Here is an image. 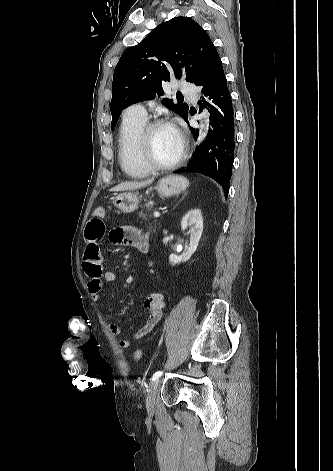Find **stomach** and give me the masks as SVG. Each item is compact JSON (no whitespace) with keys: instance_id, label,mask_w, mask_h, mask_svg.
Listing matches in <instances>:
<instances>
[{"instance_id":"obj_1","label":"stomach","mask_w":333,"mask_h":471,"mask_svg":"<svg viewBox=\"0 0 333 471\" xmlns=\"http://www.w3.org/2000/svg\"><path fill=\"white\" fill-rule=\"evenodd\" d=\"M188 185L189 182L186 178L177 175H170L160 179L156 189L161 197L166 198L181 193ZM112 203L120 211L131 213L138 209L140 200L136 193L127 192L114 196Z\"/></svg>"}]
</instances>
